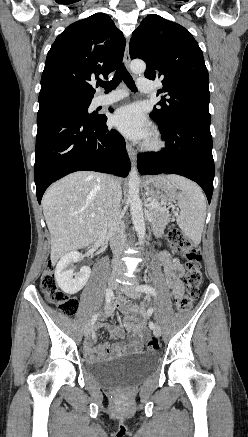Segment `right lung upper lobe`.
<instances>
[{
  "instance_id": "1",
  "label": "right lung upper lobe",
  "mask_w": 248,
  "mask_h": 437,
  "mask_svg": "<svg viewBox=\"0 0 248 437\" xmlns=\"http://www.w3.org/2000/svg\"><path fill=\"white\" fill-rule=\"evenodd\" d=\"M126 40L111 18L96 13L68 26L49 50L39 95L52 91L93 98L92 81L122 61Z\"/></svg>"
}]
</instances>
